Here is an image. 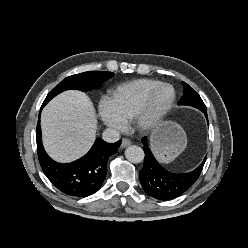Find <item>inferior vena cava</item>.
Returning a JSON list of instances; mask_svg holds the SVG:
<instances>
[{
    "mask_svg": "<svg viewBox=\"0 0 248 248\" xmlns=\"http://www.w3.org/2000/svg\"><path fill=\"white\" fill-rule=\"evenodd\" d=\"M102 136H103V140L108 143H114L120 139L119 131L113 128L105 129Z\"/></svg>",
    "mask_w": 248,
    "mask_h": 248,
    "instance_id": "1",
    "label": "inferior vena cava"
}]
</instances>
